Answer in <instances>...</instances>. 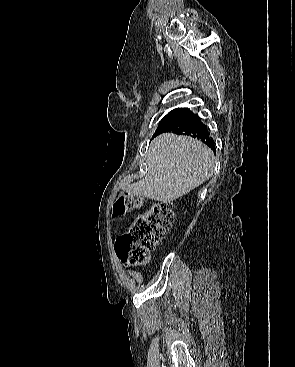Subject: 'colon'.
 <instances>
[{"mask_svg": "<svg viewBox=\"0 0 295 367\" xmlns=\"http://www.w3.org/2000/svg\"><path fill=\"white\" fill-rule=\"evenodd\" d=\"M142 200L131 194L121 195L113 206L114 215H123L138 209ZM174 221L171 204L157 202L132 218L128 232L116 239L115 250L126 265H144L152 251L165 238Z\"/></svg>", "mask_w": 295, "mask_h": 367, "instance_id": "1", "label": "colon"}]
</instances>
